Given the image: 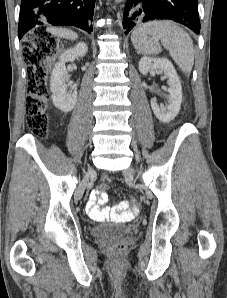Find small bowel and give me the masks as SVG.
Instances as JSON below:
<instances>
[{
  "instance_id": "small-bowel-1",
  "label": "small bowel",
  "mask_w": 227,
  "mask_h": 298,
  "mask_svg": "<svg viewBox=\"0 0 227 298\" xmlns=\"http://www.w3.org/2000/svg\"><path fill=\"white\" fill-rule=\"evenodd\" d=\"M108 182V178H104ZM108 195L105 191L94 190L90 194L89 201L86 205L88 215L94 220H105L109 218L128 219L137 211V207L132 210L128 209V203L122 202L118 206L108 207ZM102 207V208H100Z\"/></svg>"
}]
</instances>
